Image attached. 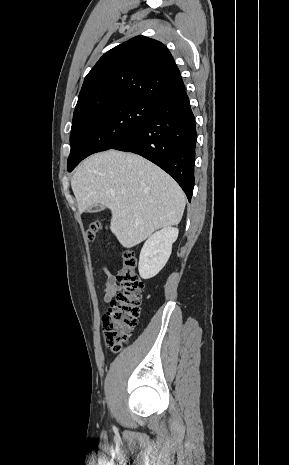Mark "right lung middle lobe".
Here are the masks:
<instances>
[{
    "mask_svg": "<svg viewBox=\"0 0 289 465\" xmlns=\"http://www.w3.org/2000/svg\"><path fill=\"white\" fill-rule=\"evenodd\" d=\"M155 102L127 100L99 108L72 126L67 169L72 171L87 156L111 149L145 123Z\"/></svg>",
    "mask_w": 289,
    "mask_h": 465,
    "instance_id": "dd1d6c3e",
    "label": "right lung middle lobe"
}]
</instances>
